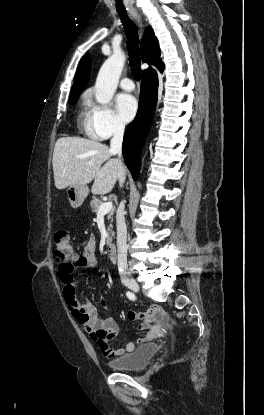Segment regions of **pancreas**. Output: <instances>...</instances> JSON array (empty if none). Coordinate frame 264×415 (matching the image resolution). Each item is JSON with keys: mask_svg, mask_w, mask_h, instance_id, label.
Returning a JSON list of instances; mask_svg holds the SVG:
<instances>
[{"mask_svg": "<svg viewBox=\"0 0 264 415\" xmlns=\"http://www.w3.org/2000/svg\"><path fill=\"white\" fill-rule=\"evenodd\" d=\"M103 203H104V202H103L101 199L94 197V198L92 199L91 203H90V206H91L92 212H94V213H98L99 207H100V205H101V204H103ZM112 216H113V211H112V212H110V213L107 215V219H108V220H110V222H113V217H112ZM108 234H109V236H108V238H107V240H106V244H107V245H110V244H111V242H112V237H113L112 224L108 227Z\"/></svg>", "mask_w": 264, "mask_h": 415, "instance_id": "1", "label": "pancreas"}]
</instances>
